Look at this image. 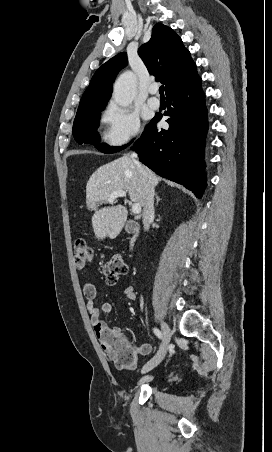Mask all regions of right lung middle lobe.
I'll return each instance as SVG.
<instances>
[{
  "label": "right lung middle lobe",
  "instance_id": "dd1d6c3e",
  "mask_svg": "<svg viewBox=\"0 0 272 452\" xmlns=\"http://www.w3.org/2000/svg\"><path fill=\"white\" fill-rule=\"evenodd\" d=\"M104 106L92 107L76 114L72 133L75 140L79 143H94L100 151L104 153H114L124 149L123 147H110L106 144H99L100 137L97 133L99 125L100 112Z\"/></svg>",
  "mask_w": 272,
  "mask_h": 452
}]
</instances>
